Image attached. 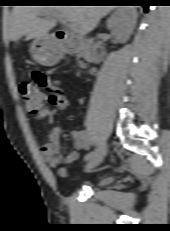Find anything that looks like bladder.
Here are the masks:
<instances>
[{"instance_id": "31cf9c89", "label": "bladder", "mask_w": 170, "mask_h": 231, "mask_svg": "<svg viewBox=\"0 0 170 231\" xmlns=\"http://www.w3.org/2000/svg\"><path fill=\"white\" fill-rule=\"evenodd\" d=\"M115 175L106 176L96 182L97 187H105L111 185L116 180Z\"/></svg>"}]
</instances>
